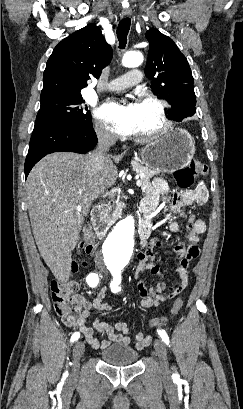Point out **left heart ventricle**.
Here are the masks:
<instances>
[{"instance_id":"obj_1","label":"left heart ventricle","mask_w":243,"mask_h":409,"mask_svg":"<svg viewBox=\"0 0 243 409\" xmlns=\"http://www.w3.org/2000/svg\"><path fill=\"white\" fill-rule=\"evenodd\" d=\"M135 134L151 131L160 124L157 108L149 102H138Z\"/></svg>"}]
</instances>
